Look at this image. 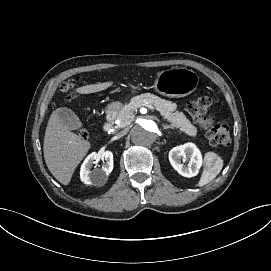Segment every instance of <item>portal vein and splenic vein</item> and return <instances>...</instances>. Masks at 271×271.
Here are the masks:
<instances>
[{
  "instance_id": "1",
  "label": "portal vein and splenic vein",
  "mask_w": 271,
  "mask_h": 271,
  "mask_svg": "<svg viewBox=\"0 0 271 271\" xmlns=\"http://www.w3.org/2000/svg\"><path fill=\"white\" fill-rule=\"evenodd\" d=\"M139 105H140L141 107L143 106L142 103H140ZM144 106H145V107L148 106V107H149L150 109H152L153 111L156 110L154 107H152V106H151L150 104H148V103H145Z\"/></svg>"
}]
</instances>
